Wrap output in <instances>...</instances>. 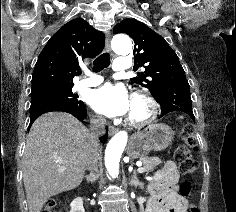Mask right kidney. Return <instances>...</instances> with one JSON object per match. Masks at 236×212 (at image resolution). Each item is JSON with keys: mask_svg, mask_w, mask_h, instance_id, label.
<instances>
[{"mask_svg": "<svg viewBox=\"0 0 236 212\" xmlns=\"http://www.w3.org/2000/svg\"><path fill=\"white\" fill-rule=\"evenodd\" d=\"M71 210L70 212H85L83 207V200L81 197H77L70 204Z\"/></svg>", "mask_w": 236, "mask_h": 212, "instance_id": "ca27d5eb", "label": "right kidney"}]
</instances>
